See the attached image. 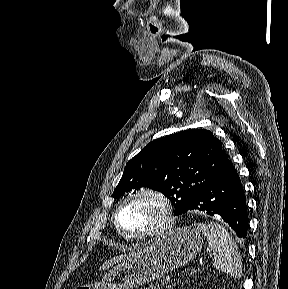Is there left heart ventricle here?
<instances>
[{"label": "left heart ventricle", "mask_w": 288, "mask_h": 289, "mask_svg": "<svg viewBox=\"0 0 288 289\" xmlns=\"http://www.w3.org/2000/svg\"><path fill=\"white\" fill-rule=\"evenodd\" d=\"M163 208L150 196H140L128 203L121 212V223L125 230L141 233L153 230L162 221Z\"/></svg>", "instance_id": "b2bd125f"}]
</instances>
